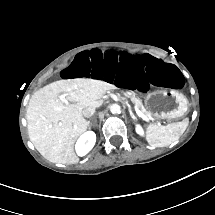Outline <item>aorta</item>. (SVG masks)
<instances>
[{
  "mask_svg": "<svg viewBox=\"0 0 215 215\" xmlns=\"http://www.w3.org/2000/svg\"><path fill=\"white\" fill-rule=\"evenodd\" d=\"M110 111H111V113H113V114L120 112V105L117 104V103L112 104V105L110 106Z\"/></svg>",
  "mask_w": 215,
  "mask_h": 215,
  "instance_id": "1",
  "label": "aorta"
}]
</instances>
